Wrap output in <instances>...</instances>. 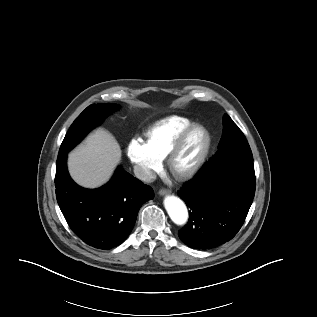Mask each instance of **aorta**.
I'll use <instances>...</instances> for the list:
<instances>
[{"label":"aorta","mask_w":317,"mask_h":317,"mask_svg":"<svg viewBox=\"0 0 317 317\" xmlns=\"http://www.w3.org/2000/svg\"><path fill=\"white\" fill-rule=\"evenodd\" d=\"M164 206L171 220L179 226L185 225L188 220V210L183 201L175 196H167Z\"/></svg>","instance_id":"aorta-1"}]
</instances>
